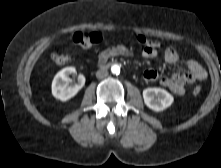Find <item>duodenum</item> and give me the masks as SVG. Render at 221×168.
<instances>
[{
    "instance_id": "duodenum-1",
    "label": "duodenum",
    "mask_w": 221,
    "mask_h": 168,
    "mask_svg": "<svg viewBox=\"0 0 221 168\" xmlns=\"http://www.w3.org/2000/svg\"><path fill=\"white\" fill-rule=\"evenodd\" d=\"M106 64L105 63H100V66H105Z\"/></svg>"
}]
</instances>
